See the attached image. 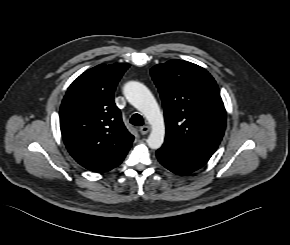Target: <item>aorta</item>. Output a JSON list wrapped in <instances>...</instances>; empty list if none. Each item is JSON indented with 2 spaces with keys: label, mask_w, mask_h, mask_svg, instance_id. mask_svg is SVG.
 I'll return each mask as SVG.
<instances>
[{
  "label": "aorta",
  "mask_w": 290,
  "mask_h": 245,
  "mask_svg": "<svg viewBox=\"0 0 290 245\" xmlns=\"http://www.w3.org/2000/svg\"><path fill=\"white\" fill-rule=\"evenodd\" d=\"M123 93L128 102L139 110L151 125L148 146L151 149H159L165 138V122L154 96L145 85L136 81L128 82Z\"/></svg>",
  "instance_id": "aorta-1"
}]
</instances>
